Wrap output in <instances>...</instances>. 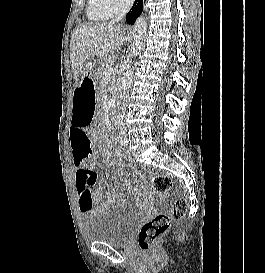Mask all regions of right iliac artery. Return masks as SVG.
Listing matches in <instances>:
<instances>
[{"mask_svg": "<svg viewBox=\"0 0 265 273\" xmlns=\"http://www.w3.org/2000/svg\"><path fill=\"white\" fill-rule=\"evenodd\" d=\"M118 128V133H119V126L117 127ZM118 138V137H117ZM117 138H115V140H117Z\"/></svg>", "mask_w": 265, "mask_h": 273, "instance_id": "1", "label": "right iliac artery"}]
</instances>
